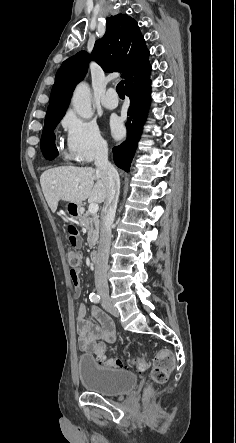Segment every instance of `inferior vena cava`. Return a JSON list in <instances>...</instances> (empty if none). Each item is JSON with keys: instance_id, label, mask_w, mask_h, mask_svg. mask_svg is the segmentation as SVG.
Here are the masks:
<instances>
[{"instance_id": "602c4592", "label": "inferior vena cava", "mask_w": 236, "mask_h": 443, "mask_svg": "<svg viewBox=\"0 0 236 443\" xmlns=\"http://www.w3.org/2000/svg\"><path fill=\"white\" fill-rule=\"evenodd\" d=\"M96 172L106 184L107 197L102 210L100 240L97 260L95 265V286L103 304L110 303L107 282L109 250L111 243V226L114 221L118 197L120 192V179L117 170L108 161L107 143L99 148L95 155Z\"/></svg>"}]
</instances>
